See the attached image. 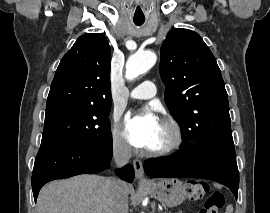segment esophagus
<instances>
[{"instance_id": "obj_1", "label": "esophagus", "mask_w": 270, "mask_h": 213, "mask_svg": "<svg viewBox=\"0 0 270 213\" xmlns=\"http://www.w3.org/2000/svg\"><path fill=\"white\" fill-rule=\"evenodd\" d=\"M133 167L135 172V177L140 181L144 183H148V180L144 177V169H143V163L139 159L133 160Z\"/></svg>"}]
</instances>
